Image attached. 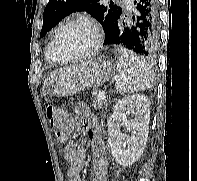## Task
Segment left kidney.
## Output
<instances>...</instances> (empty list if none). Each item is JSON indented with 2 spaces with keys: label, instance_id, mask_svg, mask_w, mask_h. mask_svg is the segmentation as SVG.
Listing matches in <instances>:
<instances>
[{
  "label": "left kidney",
  "instance_id": "1",
  "mask_svg": "<svg viewBox=\"0 0 197 181\" xmlns=\"http://www.w3.org/2000/svg\"><path fill=\"white\" fill-rule=\"evenodd\" d=\"M150 102L145 95H132L119 100L114 112L108 119V143L115 161L124 167L134 164L142 155L147 143ZM135 114L134 120H128V114ZM121 127L132 132L124 135Z\"/></svg>",
  "mask_w": 197,
  "mask_h": 181
}]
</instances>
